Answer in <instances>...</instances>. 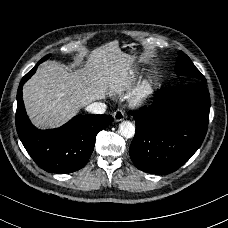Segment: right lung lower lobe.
I'll use <instances>...</instances> for the list:
<instances>
[{"instance_id":"right-lung-lower-lobe-1","label":"right lung lower lobe","mask_w":228,"mask_h":228,"mask_svg":"<svg viewBox=\"0 0 228 228\" xmlns=\"http://www.w3.org/2000/svg\"><path fill=\"white\" fill-rule=\"evenodd\" d=\"M37 65L21 80L17 91L16 129L25 149L43 170L70 173L85 166L95 144L97 133L109 126L111 115H78L60 128L38 130L29 121L22 87L35 73Z\"/></svg>"}]
</instances>
